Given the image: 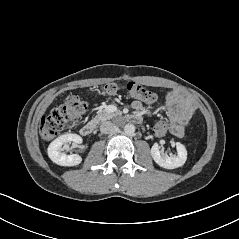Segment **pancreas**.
<instances>
[{
    "instance_id": "1",
    "label": "pancreas",
    "mask_w": 239,
    "mask_h": 239,
    "mask_svg": "<svg viewBox=\"0 0 239 239\" xmlns=\"http://www.w3.org/2000/svg\"><path fill=\"white\" fill-rule=\"evenodd\" d=\"M114 115L115 114L108 113L105 110H100V111L97 112L93 121L96 122V123L104 122L106 120L111 119Z\"/></svg>"
}]
</instances>
